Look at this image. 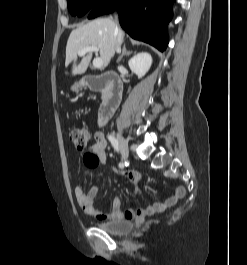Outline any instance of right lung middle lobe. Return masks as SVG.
<instances>
[{
	"label": "right lung middle lobe",
	"instance_id": "obj_1",
	"mask_svg": "<svg viewBox=\"0 0 247 265\" xmlns=\"http://www.w3.org/2000/svg\"><path fill=\"white\" fill-rule=\"evenodd\" d=\"M106 0H67L68 9L71 15L81 17L94 6Z\"/></svg>",
	"mask_w": 247,
	"mask_h": 265
}]
</instances>
